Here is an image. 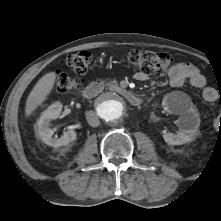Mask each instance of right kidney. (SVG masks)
Listing matches in <instances>:
<instances>
[{
  "label": "right kidney",
  "instance_id": "ca27d5eb",
  "mask_svg": "<svg viewBox=\"0 0 221 221\" xmlns=\"http://www.w3.org/2000/svg\"><path fill=\"white\" fill-rule=\"evenodd\" d=\"M62 111V104L55 102L50 105L41 115L40 119L34 126L35 132L38 137L47 145L52 147H61L68 145L70 142L74 141L77 137L74 130H68L60 138L53 137L54 130H52L49 125L50 121L57 119Z\"/></svg>",
  "mask_w": 221,
  "mask_h": 221
}]
</instances>
